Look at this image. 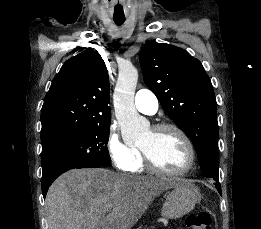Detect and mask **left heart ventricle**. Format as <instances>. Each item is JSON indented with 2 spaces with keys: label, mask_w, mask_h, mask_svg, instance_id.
Wrapping results in <instances>:
<instances>
[{
  "label": "left heart ventricle",
  "mask_w": 261,
  "mask_h": 229,
  "mask_svg": "<svg viewBox=\"0 0 261 229\" xmlns=\"http://www.w3.org/2000/svg\"><path fill=\"white\" fill-rule=\"evenodd\" d=\"M139 146L148 151L152 159L161 168L168 171H179L188 162V152L181 137L171 130L145 134Z\"/></svg>",
  "instance_id": "left-heart-ventricle-1"
}]
</instances>
